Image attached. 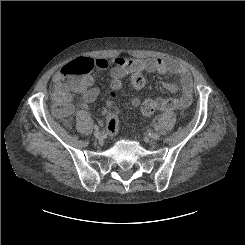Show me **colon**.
<instances>
[{
	"label": "colon",
	"mask_w": 245,
	"mask_h": 245,
	"mask_svg": "<svg viewBox=\"0 0 245 245\" xmlns=\"http://www.w3.org/2000/svg\"><path fill=\"white\" fill-rule=\"evenodd\" d=\"M98 70L95 60L92 58L77 56L62 67L61 75L56 78L53 91L55 98V112L60 118L66 119L72 112L69 94L79 91L86 87L92 81V74ZM145 85V79L140 73H133L129 79V87L132 90H141ZM118 84L116 85V87ZM115 90L108 94L104 108L107 114H111L114 109ZM156 111L154 98H147L141 106V112L144 116H151ZM65 123H69L65 120ZM106 129L113 134L118 129V121L115 118H109Z\"/></svg>",
	"instance_id": "colon-1"
}]
</instances>
